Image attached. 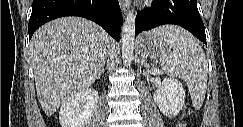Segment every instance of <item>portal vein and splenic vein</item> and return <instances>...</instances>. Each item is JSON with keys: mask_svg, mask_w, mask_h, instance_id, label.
<instances>
[{"mask_svg": "<svg viewBox=\"0 0 243 127\" xmlns=\"http://www.w3.org/2000/svg\"><path fill=\"white\" fill-rule=\"evenodd\" d=\"M154 72H158V73H159L160 71H159V70H155V69H154Z\"/></svg>", "mask_w": 243, "mask_h": 127, "instance_id": "portal-vein-and-splenic-vein-1", "label": "portal vein and splenic vein"}]
</instances>
